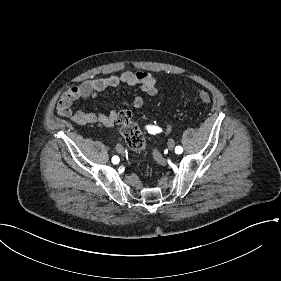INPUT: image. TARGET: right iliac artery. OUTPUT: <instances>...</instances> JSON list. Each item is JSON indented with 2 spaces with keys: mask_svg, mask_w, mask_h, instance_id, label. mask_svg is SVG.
Here are the masks:
<instances>
[{
  "mask_svg": "<svg viewBox=\"0 0 281 281\" xmlns=\"http://www.w3.org/2000/svg\"><path fill=\"white\" fill-rule=\"evenodd\" d=\"M112 162H113L114 164H117V163L119 162V157H118V156H113V157H112Z\"/></svg>",
  "mask_w": 281,
  "mask_h": 281,
  "instance_id": "right-iliac-artery-1",
  "label": "right iliac artery"
}]
</instances>
